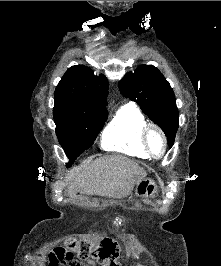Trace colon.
<instances>
[{
  "instance_id": "colon-1",
  "label": "colon",
  "mask_w": 221,
  "mask_h": 266,
  "mask_svg": "<svg viewBox=\"0 0 221 266\" xmlns=\"http://www.w3.org/2000/svg\"><path fill=\"white\" fill-rule=\"evenodd\" d=\"M67 247V251L57 252H76V256L82 260L94 258L100 261L102 266H121L118 262V245L111 238L105 237L96 244L88 240L77 241L76 239H71L68 241Z\"/></svg>"
}]
</instances>
